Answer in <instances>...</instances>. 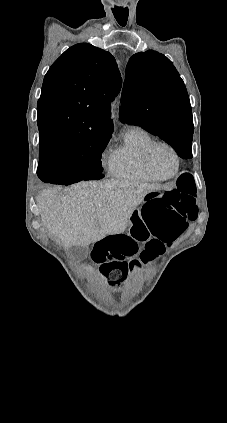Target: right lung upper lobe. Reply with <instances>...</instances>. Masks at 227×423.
Masks as SVG:
<instances>
[{
  "instance_id": "obj_1",
  "label": "right lung upper lobe",
  "mask_w": 227,
  "mask_h": 423,
  "mask_svg": "<svg viewBox=\"0 0 227 423\" xmlns=\"http://www.w3.org/2000/svg\"><path fill=\"white\" fill-rule=\"evenodd\" d=\"M114 57L88 43L66 50L45 75L37 105L40 144L111 135L109 103L121 89Z\"/></svg>"
}]
</instances>
